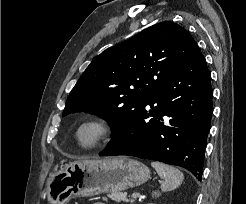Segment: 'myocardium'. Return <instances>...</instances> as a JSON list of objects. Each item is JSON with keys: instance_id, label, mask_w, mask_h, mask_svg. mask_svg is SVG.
<instances>
[{"instance_id": "f54148a6", "label": "myocardium", "mask_w": 246, "mask_h": 204, "mask_svg": "<svg viewBox=\"0 0 246 204\" xmlns=\"http://www.w3.org/2000/svg\"><path fill=\"white\" fill-rule=\"evenodd\" d=\"M86 128L95 130L94 137L89 141L81 139V132ZM114 133V126L111 121L104 117L93 116L82 120L75 128L73 137L76 144L82 149H95L109 141Z\"/></svg>"}]
</instances>
